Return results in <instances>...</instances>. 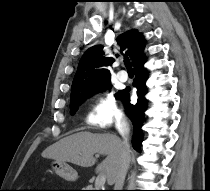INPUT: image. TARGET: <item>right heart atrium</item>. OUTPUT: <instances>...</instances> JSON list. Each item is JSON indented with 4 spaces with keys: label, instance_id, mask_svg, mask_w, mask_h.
<instances>
[{
    "label": "right heart atrium",
    "instance_id": "d8ad5b80",
    "mask_svg": "<svg viewBox=\"0 0 210 191\" xmlns=\"http://www.w3.org/2000/svg\"><path fill=\"white\" fill-rule=\"evenodd\" d=\"M90 124L99 128H108L121 118V112L112 94L100 97L92 105L88 114Z\"/></svg>",
    "mask_w": 210,
    "mask_h": 191
}]
</instances>
